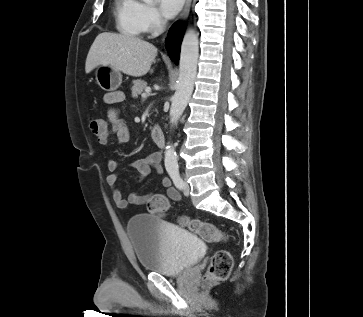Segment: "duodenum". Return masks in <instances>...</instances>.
<instances>
[{
    "label": "duodenum",
    "mask_w": 363,
    "mask_h": 317,
    "mask_svg": "<svg viewBox=\"0 0 363 317\" xmlns=\"http://www.w3.org/2000/svg\"><path fill=\"white\" fill-rule=\"evenodd\" d=\"M151 137L155 144H157L160 147L165 146V136L164 132L160 127H153L151 129Z\"/></svg>",
    "instance_id": "duodenum-1"
}]
</instances>
